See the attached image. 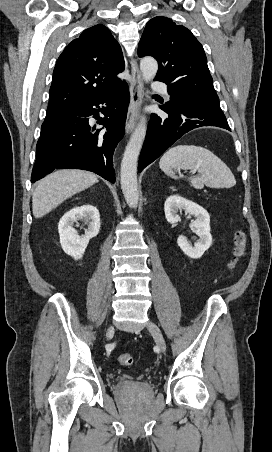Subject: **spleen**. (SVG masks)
<instances>
[{
    "label": "spleen",
    "instance_id": "3e777b00",
    "mask_svg": "<svg viewBox=\"0 0 272 452\" xmlns=\"http://www.w3.org/2000/svg\"><path fill=\"white\" fill-rule=\"evenodd\" d=\"M160 168L168 176L177 179L172 169L195 170L198 175L190 177L196 189L204 185L212 188H231L236 184L230 168L210 150L194 145H178L167 150L160 159Z\"/></svg>",
    "mask_w": 272,
    "mask_h": 452
}]
</instances>
